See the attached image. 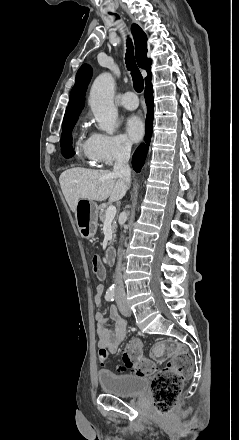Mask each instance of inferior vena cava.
Masks as SVG:
<instances>
[{
	"mask_svg": "<svg viewBox=\"0 0 239 440\" xmlns=\"http://www.w3.org/2000/svg\"><path fill=\"white\" fill-rule=\"evenodd\" d=\"M132 142L128 138H123L120 142V148L116 152V160L114 164V174H117L121 180H125L126 184H130L131 180V168L128 164L130 154H131ZM122 254L123 250H120L118 256V262L116 266L115 282L117 284L115 294H116V305L118 307H131V304L127 302V296L124 290V284L122 280Z\"/></svg>",
	"mask_w": 239,
	"mask_h": 440,
	"instance_id": "602c4592",
	"label": "inferior vena cava"
}]
</instances>
